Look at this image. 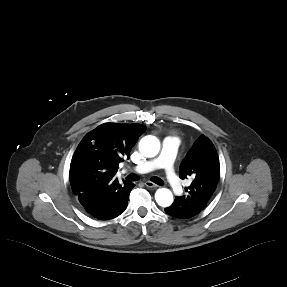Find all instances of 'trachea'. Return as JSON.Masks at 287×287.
Wrapping results in <instances>:
<instances>
[{
	"instance_id": "3493384b",
	"label": "trachea",
	"mask_w": 287,
	"mask_h": 287,
	"mask_svg": "<svg viewBox=\"0 0 287 287\" xmlns=\"http://www.w3.org/2000/svg\"><path fill=\"white\" fill-rule=\"evenodd\" d=\"M126 179L128 181H136V180H139V176L136 175V174L131 173V174H129L126 177ZM151 180H152V182H154V183H156L158 185H162L163 184V181L159 177H152Z\"/></svg>"
}]
</instances>
